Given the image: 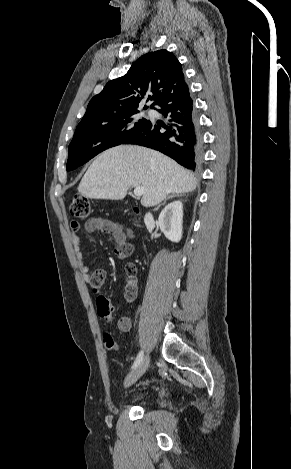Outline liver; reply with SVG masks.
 I'll return each instance as SVG.
<instances>
[{"instance_id":"obj_1","label":"liver","mask_w":291,"mask_h":469,"mask_svg":"<svg viewBox=\"0 0 291 469\" xmlns=\"http://www.w3.org/2000/svg\"><path fill=\"white\" fill-rule=\"evenodd\" d=\"M194 175L164 154L120 145L102 152L89 166L78 191L91 199L122 200L132 186L144 188L141 204L155 206L169 194L196 189Z\"/></svg>"}]
</instances>
